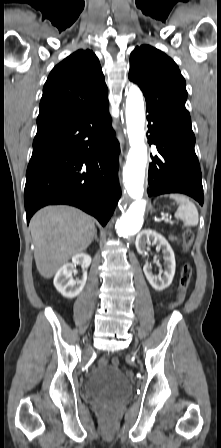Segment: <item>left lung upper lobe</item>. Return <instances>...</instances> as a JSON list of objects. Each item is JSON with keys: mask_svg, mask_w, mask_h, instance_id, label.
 Returning <instances> with one entry per match:
<instances>
[{"mask_svg": "<svg viewBox=\"0 0 221 448\" xmlns=\"http://www.w3.org/2000/svg\"><path fill=\"white\" fill-rule=\"evenodd\" d=\"M129 79L141 88L146 111L192 132L190 114L185 108L186 83L170 57L150 45L137 46L130 56Z\"/></svg>", "mask_w": 221, "mask_h": 448, "instance_id": "5c2ea615", "label": "left lung upper lobe"}]
</instances>
